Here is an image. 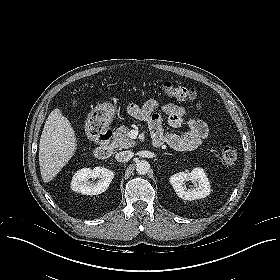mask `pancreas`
Returning a JSON list of instances; mask_svg holds the SVG:
<instances>
[{
	"label": "pancreas",
	"mask_w": 280,
	"mask_h": 280,
	"mask_svg": "<svg viewBox=\"0 0 280 280\" xmlns=\"http://www.w3.org/2000/svg\"><path fill=\"white\" fill-rule=\"evenodd\" d=\"M129 127L120 126L114 132V142L117 147L120 149L133 148L136 145V142L129 138L128 136Z\"/></svg>",
	"instance_id": "pancreas-1"
}]
</instances>
